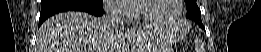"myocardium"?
<instances>
[{
    "mask_svg": "<svg viewBox=\"0 0 261 52\" xmlns=\"http://www.w3.org/2000/svg\"><path fill=\"white\" fill-rule=\"evenodd\" d=\"M144 1H150V0H140V1L135 2L136 12L138 14V17L143 22L152 23V24H169V23L175 22L181 16V14L183 12V2L184 1L176 0L177 1V11L173 16H171L170 18H167V19L151 17L148 15H145L142 12L141 7H142V2H144Z\"/></svg>",
    "mask_w": 261,
    "mask_h": 52,
    "instance_id": "myocardium-1",
    "label": "myocardium"
}]
</instances>
